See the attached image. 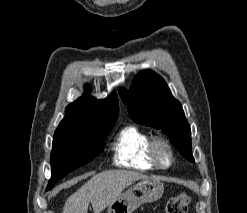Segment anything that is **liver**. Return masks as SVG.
<instances>
[{"instance_id": "liver-1", "label": "liver", "mask_w": 247, "mask_h": 213, "mask_svg": "<svg viewBox=\"0 0 247 213\" xmlns=\"http://www.w3.org/2000/svg\"><path fill=\"white\" fill-rule=\"evenodd\" d=\"M148 178L128 170H108L94 175L65 202L62 213H87L89 203L94 213L102 212L132 183Z\"/></svg>"}]
</instances>
